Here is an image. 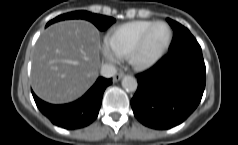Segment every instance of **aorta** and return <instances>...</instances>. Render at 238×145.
<instances>
[{
    "label": "aorta",
    "mask_w": 238,
    "mask_h": 145,
    "mask_svg": "<svg viewBox=\"0 0 238 145\" xmlns=\"http://www.w3.org/2000/svg\"><path fill=\"white\" fill-rule=\"evenodd\" d=\"M121 83H122V87L129 92L136 91L138 86L137 80L133 76H130V75L125 76L122 79Z\"/></svg>",
    "instance_id": "1"
}]
</instances>
